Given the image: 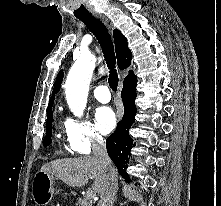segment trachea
Here are the masks:
<instances>
[{
  "mask_svg": "<svg viewBox=\"0 0 221 206\" xmlns=\"http://www.w3.org/2000/svg\"><path fill=\"white\" fill-rule=\"evenodd\" d=\"M77 18L88 27V29L96 36L98 42L100 43V46L104 54V58L109 68V86L113 91H117L118 75L115 69L116 59L114 45L111 39V35L108 32V29L100 21V19L95 18L92 15L81 16Z\"/></svg>",
  "mask_w": 221,
  "mask_h": 206,
  "instance_id": "3493384b",
  "label": "trachea"
}]
</instances>
